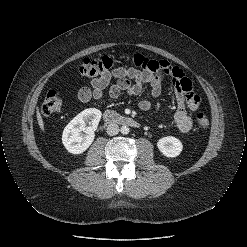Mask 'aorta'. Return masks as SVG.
<instances>
[{
	"mask_svg": "<svg viewBox=\"0 0 247 247\" xmlns=\"http://www.w3.org/2000/svg\"><path fill=\"white\" fill-rule=\"evenodd\" d=\"M120 131H121L122 134L126 135V134H128L130 132V128L128 126H126V125H123L121 127Z\"/></svg>",
	"mask_w": 247,
	"mask_h": 247,
	"instance_id": "762f6f07",
	"label": "aorta"
}]
</instances>
